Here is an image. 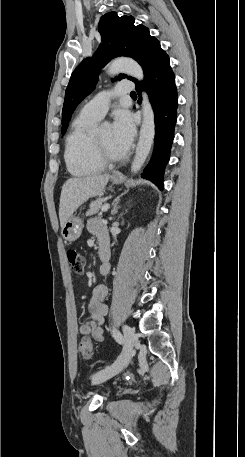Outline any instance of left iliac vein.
<instances>
[{
  "label": "left iliac vein",
  "mask_w": 245,
  "mask_h": 457,
  "mask_svg": "<svg viewBox=\"0 0 245 457\" xmlns=\"http://www.w3.org/2000/svg\"><path fill=\"white\" fill-rule=\"evenodd\" d=\"M123 332L124 347L122 353L111 366L106 367L93 375L92 379L94 382L103 383L111 377L117 375L125 368L129 360L131 359L135 341V332L133 328L126 324L123 325Z\"/></svg>",
  "instance_id": "1"
}]
</instances>
